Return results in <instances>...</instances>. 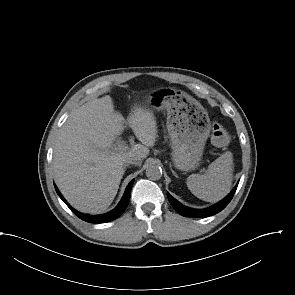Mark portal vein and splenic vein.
I'll use <instances>...</instances> for the list:
<instances>
[{"instance_id": "portal-vein-and-splenic-vein-1", "label": "portal vein and splenic vein", "mask_w": 295, "mask_h": 295, "mask_svg": "<svg viewBox=\"0 0 295 295\" xmlns=\"http://www.w3.org/2000/svg\"><path fill=\"white\" fill-rule=\"evenodd\" d=\"M135 148V145H133L131 147V150ZM129 149L128 146H126L125 144L121 143V144H118L117 147H114V148H111L110 152H124V151H127Z\"/></svg>"}]
</instances>
